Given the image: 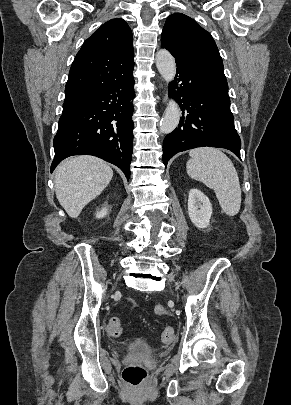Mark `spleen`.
<instances>
[{
  "mask_svg": "<svg viewBox=\"0 0 291 405\" xmlns=\"http://www.w3.org/2000/svg\"><path fill=\"white\" fill-rule=\"evenodd\" d=\"M186 169L188 175L215 191L222 210L235 216L241 206V188L232 161L215 148H197L190 151Z\"/></svg>",
  "mask_w": 291,
  "mask_h": 405,
  "instance_id": "1",
  "label": "spleen"
}]
</instances>
